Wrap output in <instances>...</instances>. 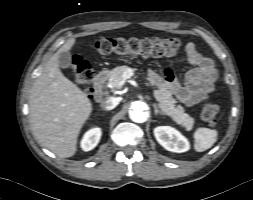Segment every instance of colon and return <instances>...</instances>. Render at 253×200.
I'll use <instances>...</instances> for the list:
<instances>
[{"label": "colon", "mask_w": 253, "mask_h": 200, "mask_svg": "<svg viewBox=\"0 0 253 200\" xmlns=\"http://www.w3.org/2000/svg\"><path fill=\"white\" fill-rule=\"evenodd\" d=\"M182 48V42L176 38H131L110 39L104 38L98 43V50L103 54L110 53H142L153 56H174ZM76 79L79 82H88L92 71L90 65L84 60L74 62ZM219 107L211 102H205L202 106L201 117L208 125L216 123Z\"/></svg>", "instance_id": "obj_1"}]
</instances>
